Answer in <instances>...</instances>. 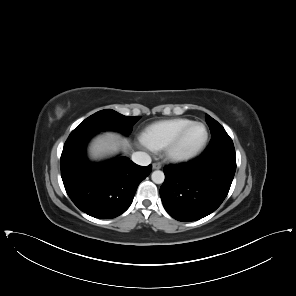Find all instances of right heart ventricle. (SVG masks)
<instances>
[{
	"mask_svg": "<svg viewBox=\"0 0 296 296\" xmlns=\"http://www.w3.org/2000/svg\"><path fill=\"white\" fill-rule=\"evenodd\" d=\"M190 122L192 120L187 118L158 121L145 129L143 140L152 149H163L176 133Z\"/></svg>",
	"mask_w": 296,
	"mask_h": 296,
	"instance_id": "1",
	"label": "right heart ventricle"
}]
</instances>
